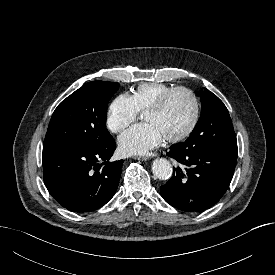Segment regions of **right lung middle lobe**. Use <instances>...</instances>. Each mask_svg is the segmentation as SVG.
<instances>
[{"label": "right lung middle lobe", "mask_w": 275, "mask_h": 275, "mask_svg": "<svg viewBox=\"0 0 275 275\" xmlns=\"http://www.w3.org/2000/svg\"><path fill=\"white\" fill-rule=\"evenodd\" d=\"M118 88V83L92 81L64 99L51 117L43 147L90 148L108 142L107 107Z\"/></svg>", "instance_id": "right-lung-middle-lobe-1"}]
</instances>
